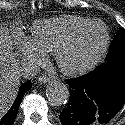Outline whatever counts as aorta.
I'll return each mask as SVG.
<instances>
[{
  "instance_id": "aorta-1",
  "label": "aorta",
  "mask_w": 125,
  "mask_h": 125,
  "mask_svg": "<svg viewBox=\"0 0 125 125\" xmlns=\"http://www.w3.org/2000/svg\"><path fill=\"white\" fill-rule=\"evenodd\" d=\"M46 96L52 106H61L67 103L70 91L66 84L54 81L47 86Z\"/></svg>"
}]
</instances>
